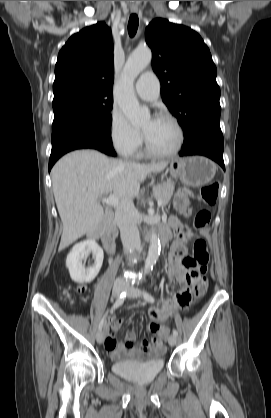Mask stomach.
<instances>
[{"label": "stomach", "mask_w": 271, "mask_h": 418, "mask_svg": "<svg viewBox=\"0 0 271 418\" xmlns=\"http://www.w3.org/2000/svg\"><path fill=\"white\" fill-rule=\"evenodd\" d=\"M173 178L183 184L200 187L209 183L216 174L215 164L208 158L192 156L171 161L168 168Z\"/></svg>", "instance_id": "stomach-1"}]
</instances>
